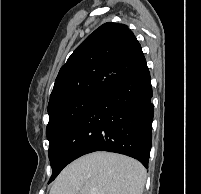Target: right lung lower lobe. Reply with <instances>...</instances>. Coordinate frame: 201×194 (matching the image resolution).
Masks as SVG:
<instances>
[{"mask_svg":"<svg viewBox=\"0 0 201 194\" xmlns=\"http://www.w3.org/2000/svg\"><path fill=\"white\" fill-rule=\"evenodd\" d=\"M151 77L146 60L112 85L68 129L53 153L57 174L78 157L108 151L148 168L153 121Z\"/></svg>","mask_w":201,"mask_h":194,"instance_id":"obj_1","label":"right lung lower lobe"}]
</instances>
